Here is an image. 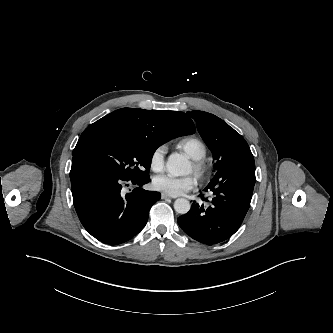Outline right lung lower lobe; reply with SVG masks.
I'll list each match as a JSON object with an SVG mask.
<instances>
[{
    "label": "right lung lower lobe",
    "instance_id": "1",
    "mask_svg": "<svg viewBox=\"0 0 333 333\" xmlns=\"http://www.w3.org/2000/svg\"><path fill=\"white\" fill-rule=\"evenodd\" d=\"M70 179L82 225L107 244H120L138 234L147 223L151 206L160 199L158 192L140 188L150 181L149 177H123L81 155L73 156ZM131 185L136 188L125 194V188Z\"/></svg>",
    "mask_w": 333,
    "mask_h": 333
}]
</instances>
